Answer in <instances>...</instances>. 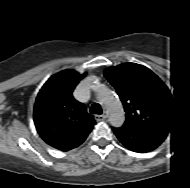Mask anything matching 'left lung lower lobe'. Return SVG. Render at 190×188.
Listing matches in <instances>:
<instances>
[{
    "mask_svg": "<svg viewBox=\"0 0 190 188\" xmlns=\"http://www.w3.org/2000/svg\"><path fill=\"white\" fill-rule=\"evenodd\" d=\"M118 139L130 150L146 152L161 143L167 132L142 130L124 124L120 128H112Z\"/></svg>",
    "mask_w": 190,
    "mask_h": 188,
    "instance_id": "obj_1",
    "label": "left lung lower lobe"
}]
</instances>
